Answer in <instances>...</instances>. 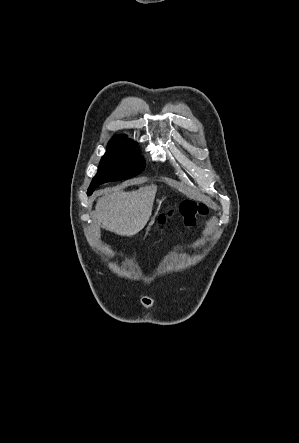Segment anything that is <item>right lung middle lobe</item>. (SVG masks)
I'll list each match as a JSON object with an SVG mask.
<instances>
[{
    "instance_id": "1",
    "label": "right lung middle lobe",
    "mask_w": 299,
    "mask_h": 443,
    "mask_svg": "<svg viewBox=\"0 0 299 443\" xmlns=\"http://www.w3.org/2000/svg\"><path fill=\"white\" fill-rule=\"evenodd\" d=\"M136 143L125 138H116L109 142L108 150L102 157L98 173L88 189V195L100 184L108 181L127 179L141 173L145 162L135 152Z\"/></svg>"
}]
</instances>
